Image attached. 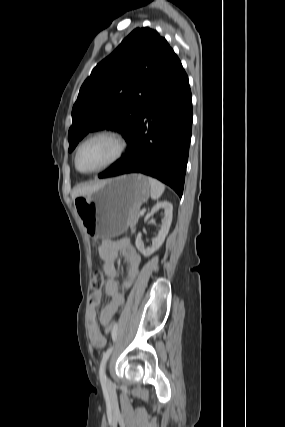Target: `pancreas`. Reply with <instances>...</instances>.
I'll return each mask as SVG.
<instances>
[{
	"label": "pancreas",
	"instance_id": "1",
	"mask_svg": "<svg viewBox=\"0 0 285 427\" xmlns=\"http://www.w3.org/2000/svg\"><path fill=\"white\" fill-rule=\"evenodd\" d=\"M138 218H139V215H136V216H134V217H133V220H132V222H131V224H130L131 228H133V227H134V225H135V223L137 222Z\"/></svg>",
	"mask_w": 285,
	"mask_h": 427
}]
</instances>
